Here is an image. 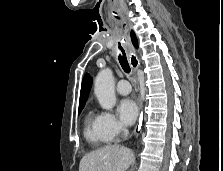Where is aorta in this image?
Here are the masks:
<instances>
[{"label": "aorta", "instance_id": "aorta-1", "mask_svg": "<svg viewBox=\"0 0 223 171\" xmlns=\"http://www.w3.org/2000/svg\"><path fill=\"white\" fill-rule=\"evenodd\" d=\"M94 93L103 109L111 110L114 107L116 97L114 92V77L111 69H103L97 74L94 83Z\"/></svg>", "mask_w": 223, "mask_h": 171}]
</instances>
